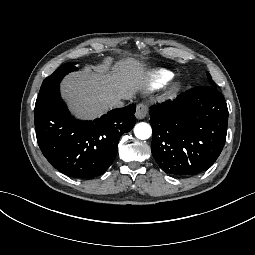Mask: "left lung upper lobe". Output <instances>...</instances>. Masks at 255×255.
Here are the masks:
<instances>
[{"label":"left lung upper lobe","mask_w":255,"mask_h":255,"mask_svg":"<svg viewBox=\"0 0 255 255\" xmlns=\"http://www.w3.org/2000/svg\"><path fill=\"white\" fill-rule=\"evenodd\" d=\"M207 76H208V79H209L210 84H211L213 87H216V84L212 81L211 76H210V74H209L208 72H207Z\"/></svg>","instance_id":"5c2ea615"}]
</instances>
